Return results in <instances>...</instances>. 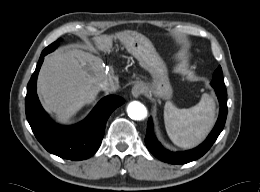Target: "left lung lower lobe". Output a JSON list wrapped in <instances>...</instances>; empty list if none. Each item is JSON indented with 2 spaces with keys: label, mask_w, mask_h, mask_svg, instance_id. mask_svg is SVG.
<instances>
[{
  "label": "left lung lower lobe",
  "mask_w": 260,
  "mask_h": 192,
  "mask_svg": "<svg viewBox=\"0 0 260 192\" xmlns=\"http://www.w3.org/2000/svg\"><path fill=\"white\" fill-rule=\"evenodd\" d=\"M211 85L214 88L220 103V114L213 130L211 131L207 139L194 149L184 152H171L165 149L156 139L152 129V120L151 118H149L145 143L148 150L155 157H157L161 161L174 165L185 164L202 157L211 148V146L214 144L217 137L223 130L227 117V91L225 88V84L224 82H211Z\"/></svg>",
  "instance_id": "obj_1"
}]
</instances>
